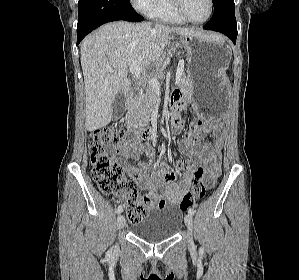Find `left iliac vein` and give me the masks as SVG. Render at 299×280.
Here are the masks:
<instances>
[{"mask_svg":"<svg viewBox=\"0 0 299 280\" xmlns=\"http://www.w3.org/2000/svg\"><path fill=\"white\" fill-rule=\"evenodd\" d=\"M184 221H185V225H186V227H187V229H188V233H189V236H190V237H189L188 244H189V247L192 249V248H194L193 239H192V237H191V234H192V227H193V217H192V215H191V214H187V215L185 216Z\"/></svg>","mask_w":299,"mask_h":280,"instance_id":"obj_1","label":"left iliac vein"}]
</instances>
